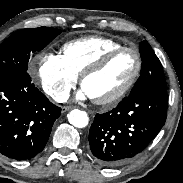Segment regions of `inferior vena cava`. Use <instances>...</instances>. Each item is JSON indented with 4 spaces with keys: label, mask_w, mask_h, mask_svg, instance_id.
<instances>
[{
    "label": "inferior vena cava",
    "mask_w": 183,
    "mask_h": 183,
    "mask_svg": "<svg viewBox=\"0 0 183 183\" xmlns=\"http://www.w3.org/2000/svg\"><path fill=\"white\" fill-rule=\"evenodd\" d=\"M69 98V94L68 93H61V94H57L54 99L59 102V103H63L66 102L67 99Z\"/></svg>",
    "instance_id": "602c4592"
}]
</instances>
